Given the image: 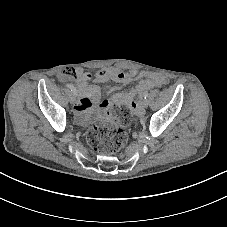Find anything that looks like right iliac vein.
Listing matches in <instances>:
<instances>
[{"mask_svg": "<svg viewBox=\"0 0 227 227\" xmlns=\"http://www.w3.org/2000/svg\"><path fill=\"white\" fill-rule=\"evenodd\" d=\"M70 102H71L72 104H75V103H76V98H75V95H74V94L71 95V97H70Z\"/></svg>", "mask_w": 227, "mask_h": 227, "instance_id": "63e3f726", "label": "right iliac vein"}]
</instances>
